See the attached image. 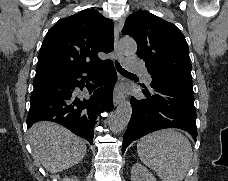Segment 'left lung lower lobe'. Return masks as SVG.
Segmentation results:
<instances>
[{"label":"left lung lower lobe","instance_id":"obj_1","mask_svg":"<svg viewBox=\"0 0 228 181\" xmlns=\"http://www.w3.org/2000/svg\"><path fill=\"white\" fill-rule=\"evenodd\" d=\"M151 78L150 84L138 83L143 97L131 98L133 113L123 137L122 153L131 142L164 128L185 130L196 141L193 87L159 74H151Z\"/></svg>","mask_w":228,"mask_h":181}]
</instances>
